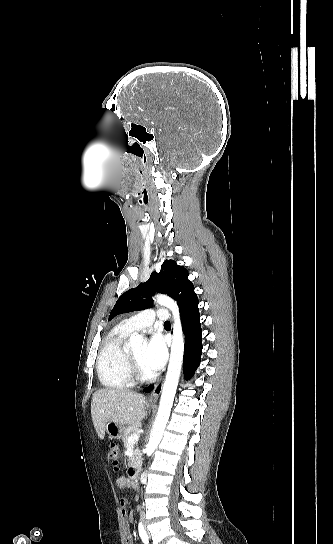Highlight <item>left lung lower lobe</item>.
Returning <instances> with one entry per match:
<instances>
[{
    "label": "left lung lower lobe",
    "instance_id": "0a47b994",
    "mask_svg": "<svg viewBox=\"0 0 333 544\" xmlns=\"http://www.w3.org/2000/svg\"><path fill=\"white\" fill-rule=\"evenodd\" d=\"M198 304V301H194L179 308L185 335L183 371L187 380L194 375L202 354V329ZM152 389L153 387L150 386L144 391L149 393Z\"/></svg>",
    "mask_w": 333,
    "mask_h": 544
}]
</instances>
